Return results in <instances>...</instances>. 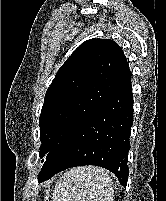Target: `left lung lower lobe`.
<instances>
[{
    "label": "left lung lower lobe",
    "instance_id": "left-lung-lower-lobe-1",
    "mask_svg": "<svg viewBox=\"0 0 166 201\" xmlns=\"http://www.w3.org/2000/svg\"><path fill=\"white\" fill-rule=\"evenodd\" d=\"M133 125L131 72L107 99L49 157L39 173L44 182L65 169L95 165L113 172L126 187L130 128Z\"/></svg>",
    "mask_w": 166,
    "mask_h": 201
}]
</instances>
